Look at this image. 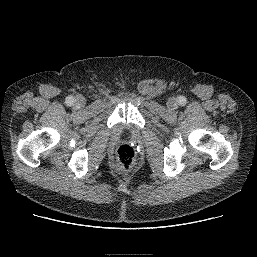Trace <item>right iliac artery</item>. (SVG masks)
<instances>
[{
  "mask_svg": "<svg viewBox=\"0 0 257 257\" xmlns=\"http://www.w3.org/2000/svg\"><path fill=\"white\" fill-rule=\"evenodd\" d=\"M73 103H74V97L73 96H68L66 98V104L71 106V105H73Z\"/></svg>",
  "mask_w": 257,
  "mask_h": 257,
  "instance_id": "82829eb1",
  "label": "right iliac artery"
}]
</instances>
